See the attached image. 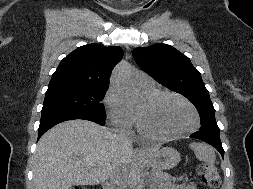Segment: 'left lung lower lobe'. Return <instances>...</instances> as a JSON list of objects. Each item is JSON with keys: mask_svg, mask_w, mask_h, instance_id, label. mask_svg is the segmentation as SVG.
Returning <instances> with one entry per match:
<instances>
[{"mask_svg": "<svg viewBox=\"0 0 253 189\" xmlns=\"http://www.w3.org/2000/svg\"><path fill=\"white\" fill-rule=\"evenodd\" d=\"M190 137L211 144L219 151L221 156L224 157V150L220 141V130H199L193 133Z\"/></svg>", "mask_w": 253, "mask_h": 189, "instance_id": "left-lung-lower-lobe-1", "label": "left lung lower lobe"}]
</instances>
